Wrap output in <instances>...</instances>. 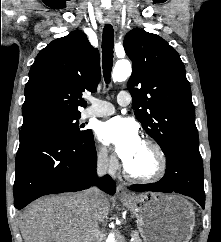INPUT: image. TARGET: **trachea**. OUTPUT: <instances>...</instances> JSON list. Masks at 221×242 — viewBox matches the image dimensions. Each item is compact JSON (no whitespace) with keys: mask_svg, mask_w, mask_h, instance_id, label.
<instances>
[{"mask_svg":"<svg viewBox=\"0 0 221 242\" xmlns=\"http://www.w3.org/2000/svg\"><path fill=\"white\" fill-rule=\"evenodd\" d=\"M114 30L112 25L106 24L102 35V62L105 82L110 83L113 65Z\"/></svg>","mask_w":221,"mask_h":242,"instance_id":"1","label":"trachea"}]
</instances>
